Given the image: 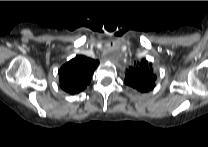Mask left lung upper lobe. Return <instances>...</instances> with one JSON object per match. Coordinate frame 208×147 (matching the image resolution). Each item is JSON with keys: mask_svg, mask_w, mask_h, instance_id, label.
I'll return each mask as SVG.
<instances>
[{"mask_svg": "<svg viewBox=\"0 0 208 147\" xmlns=\"http://www.w3.org/2000/svg\"><path fill=\"white\" fill-rule=\"evenodd\" d=\"M155 80L156 76L153 74L151 64L143 59L126 70L124 82L141 92H147L154 88Z\"/></svg>", "mask_w": 208, "mask_h": 147, "instance_id": "obj_1", "label": "left lung upper lobe"}]
</instances>
